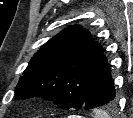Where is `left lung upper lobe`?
<instances>
[{
  "instance_id": "obj_1",
  "label": "left lung upper lobe",
  "mask_w": 133,
  "mask_h": 118,
  "mask_svg": "<svg viewBox=\"0 0 133 118\" xmlns=\"http://www.w3.org/2000/svg\"><path fill=\"white\" fill-rule=\"evenodd\" d=\"M108 60L102 46L80 26L61 31L32 57L15 97H43L62 109L84 108L85 100ZM116 101L107 108L113 109Z\"/></svg>"
}]
</instances>
